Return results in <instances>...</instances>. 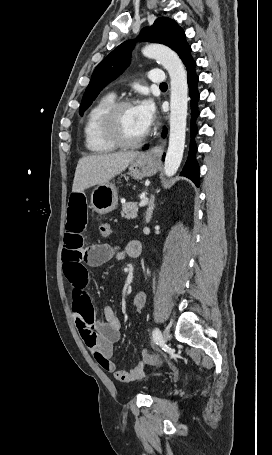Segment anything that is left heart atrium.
<instances>
[{
    "instance_id": "obj_1",
    "label": "left heart atrium",
    "mask_w": 272,
    "mask_h": 455,
    "mask_svg": "<svg viewBox=\"0 0 272 455\" xmlns=\"http://www.w3.org/2000/svg\"><path fill=\"white\" fill-rule=\"evenodd\" d=\"M142 128L147 132L154 123L156 110L152 100L144 99L135 106Z\"/></svg>"
}]
</instances>
